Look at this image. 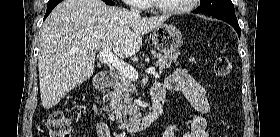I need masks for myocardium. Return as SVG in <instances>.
<instances>
[{
	"instance_id": "obj_1",
	"label": "myocardium",
	"mask_w": 280,
	"mask_h": 137,
	"mask_svg": "<svg viewBox=\"0 0 280 137\" xmlns=\"http://www.w3.org/2000/svg\"><path fill=\"white\" fill-rule=\"evenodd\" d=\"M151 6L160 12L165 14H180L187 12L191 9L192 3L196 2L195 0H185V4L182 6L174 7V8H164L156 3V0H149Z\"/></svg>"
}]
</instances>
